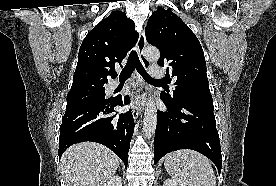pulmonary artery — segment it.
I'll use <instances>...</instances> for the list:
<instances>
[{
  "instance_id": "pulmonary-artery-1",
  "label": "pulmonary artery",
  "mask_w": 276,
  "mask_h": 186,
  "mask_svg": "<svg viewBox=\"0 0 276 186\" xmlns=\"http://www.w3.org/2000/svg\"><path fill=\"white\" fill-rule=\"evenodd\" d=\"M149 73L153 78H156V79L163 78L165 75L164 69L162 67L156 66V65L149 67ZM119 84H120L119 82H114V83H112L111 88L115 89L116 87L119 86Z\"/></svg>"
}]
</instances>
